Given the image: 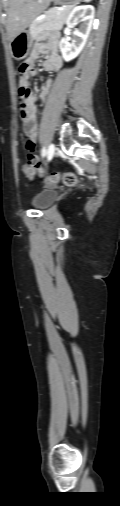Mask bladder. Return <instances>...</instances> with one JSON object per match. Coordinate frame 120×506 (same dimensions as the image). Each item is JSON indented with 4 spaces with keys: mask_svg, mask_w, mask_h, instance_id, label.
<instances>
[{
    "mask_svg": "<svg viewBox=\"0 0 120 506\" xmlns=\"http://www.w3.org/2000/svg\"><path fill=\"white\" fill-rule=\"evenodd\" d=\"M58 198V193L54 189H44L38 192L31 199V204L38 209H45L54 203Z\"/></svg>",
    "mask_w": 120,
    "mask_h": 506,
    "instance_id": "1",
    "label": "bladder"
}]
</instances>
